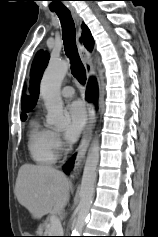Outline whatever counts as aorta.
<instances>
[{"instance_id":"762f6f07","label":"aorta","mask_w":158,"mask_h":237,"mask_svg":"<svg viewBox=\"0 0 158 237\" xmlns=\"http://www.w3.org/2000/svg\"><path fill=\"white\" fill-rule=\"evenodd\" d=\"M69 66L70 62L67 60H51L43 74L40 84V94L48 112L46 118L47 124L58 128H64L68 124V119L63 113V101L60 95V88ZM99 151V140L95 138L88 150L81 181L79 212L74 231L77 236L88 217L94 197Z\"/></svg>"}]
</instances>
